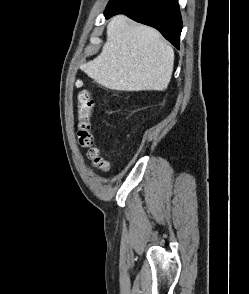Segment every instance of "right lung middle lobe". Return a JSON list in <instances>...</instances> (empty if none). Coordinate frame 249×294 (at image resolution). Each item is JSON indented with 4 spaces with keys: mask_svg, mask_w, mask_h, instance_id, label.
<instances>
[{
    "mask_svg": "<svg viewBox=\"0 0 249 294\" xmlns=\"http://www.w3.org/2000/svg\"><path fill=\"white\" fill-rule=\"evenodd\" d=\"M123 0H110L107 8H110V7H113V6H116L118 5L119 3H121Z\"/></svg>",
    "mask_w": 249,
    "mask_h": 294,
    "instance_id": "obj_1",
    "label": "right lung middle lobe"
}]
</instances>
